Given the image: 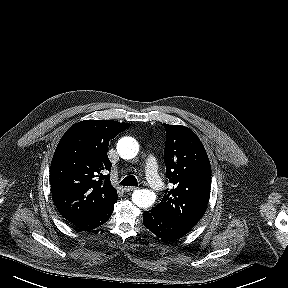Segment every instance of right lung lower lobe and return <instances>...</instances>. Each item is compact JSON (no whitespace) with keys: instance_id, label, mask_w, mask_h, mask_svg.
I'll list each match as a JSON object with an SVG mask.
<instances>
[{"instance_id":"obj_1","label":"right lung lower lobe","mask_w":288,"mask_h":288,"mask_svg":"<svg viewBox=\"0 0 288 288\" xmlns=\"http://www.w3.org/2000/svg\"><path fill=\"white\" fill-rule=\"evenodd\" d=\"M116 201L108 205L105 209H103L98 214H95L86 218H82V219L73 221L71 223L81 230H85V231L93 230L99 227L100 225L104 224L110 218Z\"/></svg>"}]
</instances>
